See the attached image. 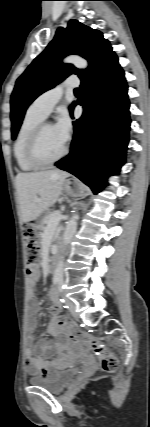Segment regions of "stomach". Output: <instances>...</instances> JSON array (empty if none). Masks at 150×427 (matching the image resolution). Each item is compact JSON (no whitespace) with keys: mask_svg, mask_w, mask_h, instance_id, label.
I'll list each match as a JSON object with an SVG mask.
<instances>
[{"mask_svg":"<svg viewBox=\"0 0 150 427\" xmlns=\"http://www.w3.org/2000/svg\"><path fill=\"white\" fill-rule=\"evenodd\" d=\"M63 190L69 196H78L83 192V187L77 180H65Z\"/></svg>","mask_w":150,"mask_h":427,"instance_id":"obj_1","label":"stomach"}]
</instances>
